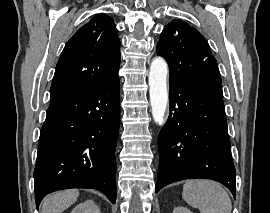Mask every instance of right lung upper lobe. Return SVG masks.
Wrapping results in <instances>:
<instances>
[{
    "label": "right lung upper lobe",
    "instance_id": "1",
    "mask_svg": "<svg viewBox=\"0 0 270 213\" xmlns=\"http://www.w3.org/2000/svg\"><path fill=\"white\" fill-rule=\"evenodd\" d=\"M120 41L111 17L95 15L66 43L53 77L50 99L84 92L118 78Z\"/></svg>",
    "mask_w": 270,
    "mask_h": 213
}]
</instances>
